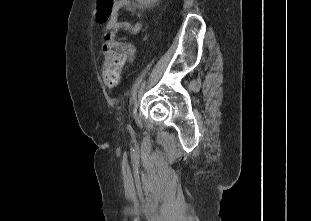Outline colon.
Returning a JSON list of instances; mask_svg holds the SVG:
<instances>
[{
  "instance_id": "obj_1",
  "label": "colon",
  "mask_w": 311,
  "mask_h": 221,
  "mask_svg": "<svg viewBox=\"0 0 311 221\" xmlns=\"http://www.w3.org/2000/svg\"><path fill=\"white\" fill-rule=\"evenodd\" d=\"M119 0H101L97 6L101 10L95 11V20L98 26H105L104 17H110L114 4H118ZM99 56L103 61L102 75L107 87H114L119 79L121 71L127 58V48L123 47L116 40L112 32L107 33L103 37L99 47Z\"/></svg>"
}]
</instances>
